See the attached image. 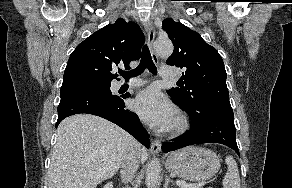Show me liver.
Returning a JSON list of instances; mask_svg holds the SVG:
<instances>
[{
    "mask_svg": "<svg viewBox=\"0 0 292 188\" xmlns=\"http://www.w3.org/2000/svg\"><path fill=\"white\" fill-rule=\"evenodd\" d=\"M135 140L117 125L94 115L64 119L57 129L48 188H96L116 174ZM140 161L147 151L140 146Z\"/></svg>",
    "mask_w": 292,
    "mask_h": 188,
    "instance_id": "1",
    "label": "liver"
}]
</instances>
